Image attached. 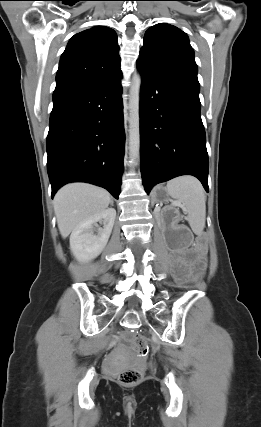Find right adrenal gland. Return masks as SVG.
<instances>
[{
	"instance_id": "right-adrenal-gland-1",
	"label": "right adrenal gland",
	"mask_w": 261,
	"mask_h": 427,
	"mask_svg": "<svg viewBox=\"0 0 261 427\" xmlns=\"http://www.w3.org/2000/svg\"><path fill=\"white\" fill-rule=\"evenodd\" d=\"M111 206H113V201H110Z\"/></svg>"
}]
</instances>
